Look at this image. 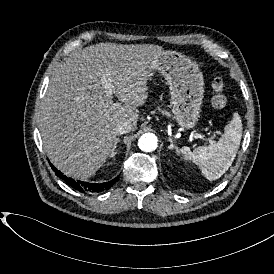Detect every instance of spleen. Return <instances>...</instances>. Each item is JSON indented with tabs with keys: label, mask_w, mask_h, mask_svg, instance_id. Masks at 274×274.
<instances>
[{
	"label": "spleen",
	"mask_w": 274,
	"mask_h": 274,
	"mask_svg": "<svg viewBox=\"0 0 274 274\" xmlns=\"http://www.w3.org/2000/svg\"><path fill=\"white\" fill-rule=\"evenodd\" d=\"M242 121L238 113L224 128V134L218 142L208 146H199L193 150L182 147L181 152L186 159L192 160L200 167L208 180L220 178L232 165L240 146L242 137Z\"/></svg>",
	"instance_id": "1"
}]
</instances>
